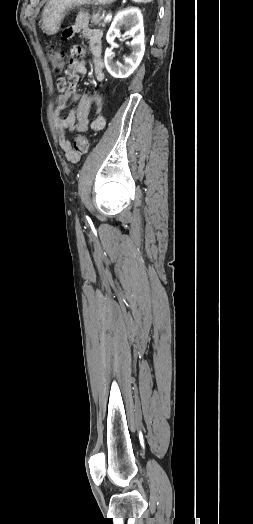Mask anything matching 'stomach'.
<instances>
[{"instance_id":"1","label":"stomach","mask_w":253,"mask_h":524,"mask_svg":"<svg viewBox=\"0 0 253 524\" xmlns=\"http://www.w3.org/2000/svg\"><path fill=\"white\" fill-rule=\"evenodd\" d=\"M114 1L116 0H49L42 11L41 29L48 35L55 34L71 9L92 3L106 5Z\"/></svg>"}]
</instances>
